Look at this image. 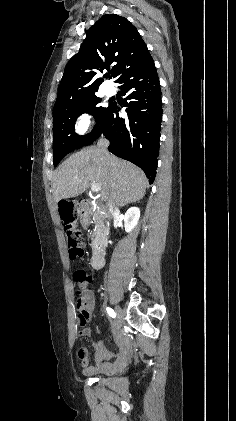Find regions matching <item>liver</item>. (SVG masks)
<instances>
[{
    "label": "liver",
    "instance_id": "liver-1",
    "mask_svg": "<svg viewBox=\"0 0 236 421\" xmlns=\"http://www.w3.org/2000/svg\"><path fill=\"white\" fill-rule=\"evenodd\" d=\"M90 180L99 182L103 202L118 206L143 198L149 184L143 170L132 162L113 154L106 158L100 148L89 146L74 152L54 170L53 194L56 202L81 194Z\"/></svg>",
    "mask_w": 236,
    "mask_h": 421
}]
</instances>
